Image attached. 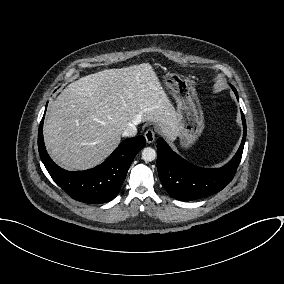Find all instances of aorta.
<instances>
[{
    "label": "aorta",
    "instance_id": "obj_1",
    "mask_svg": "<svg viewBox=\"0 0 284 284\" xmlns=\"http://www.w3.org/2000/svg\"><path fill=\"white\" fill-rule=\"evenodd\" d=\"M157 153L155 149L151 147H146L142 150V159L146 162H151L155 160Z\"/></svg>",
    "mask_w": 284,
    "mask_h": 284
}]
</instances>
